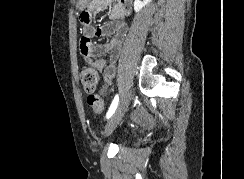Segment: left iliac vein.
Returning <instances> with one entry per match:
<instances>
[{"instance_id": "obj_1", "label": "left iliac vein", "mask_w": 244, "mask_h": 179, "mask_svg": "<svg viewBox=\"0 0 244 179\" xmlns=\"http://www.w3.org/2000/svg\"><path fill=\"white\" fill-rule=\"evenodd\" d=\"M132 96L133 93L130 88L124 92L121 101L118 104V107L116 108L115 112L113 113V115L108 120L105 126V130H104L105 136H109L114 131L116 126L119 124V122L121 121L122 117L124 116L125 112L129 107V103L132 99Z\"/></svg>"}]
</instances>
